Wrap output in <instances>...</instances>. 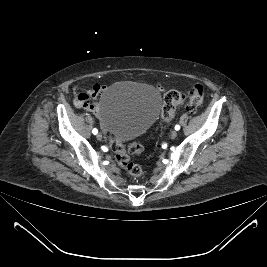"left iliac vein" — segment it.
<instances>
[{
  "mask_svg": "<svg viewBox=\"0 0 267 267\" xmlns=\"http://www.w3.org/2000/svg\"><path fill=\"white\" fill-rule=\"evenodd\" d=\"M177 135H178L177 131H172L170 137L171 139H175Z\"/></svg>",
  "mask_w": 267,
  "mask_h": 267,
  "instance_id": "1",
  "label": "left iliac vein"
}]
</instances>
